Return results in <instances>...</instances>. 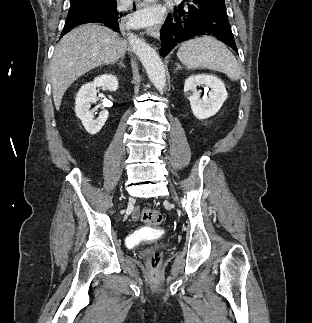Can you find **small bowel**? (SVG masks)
I'll return each instance as SVG.
<instances>
[{
  "mask_svg": "<svg viewBox=\"0 0 312 323\" xmlns=\"http://www.w3.org/2000/svg\"><path fill=\"white\" fill-rule=\"evenodd\" d=\"M132 217H133V219H138V217H139L138 209H135V210L133 211Z\"/></svg>",
  "mask_w": 312,
  "mask_h": 323,
  "instance_id": "obj_1",
  "label": "small bowel"
}]
</instances>
